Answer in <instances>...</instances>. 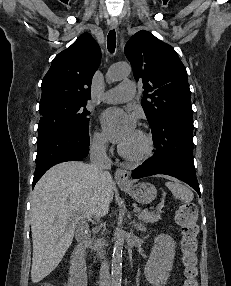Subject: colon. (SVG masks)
I'll list each match as a JSON object with an SVG mask.
<instances>
[{"label": "colon", "mask_w": 231, "mask_h": 286, "mask_svg": "<svg viewBox=\"0 0 231 286\" xmlns=\"http://www.w3.org/2000/svg\"><path fill=\"white\" fill-rule=\"evenodd\" d=\"M177 224L181 227V250L184 266L183 286H198L197 281V236L199 233L198 210L194 203L181 204L175 213ZM39 286H54L50 282H44Z\"/></svg>", "instance_id": "1"}]
</instances>
